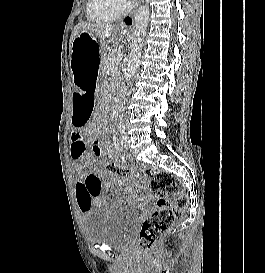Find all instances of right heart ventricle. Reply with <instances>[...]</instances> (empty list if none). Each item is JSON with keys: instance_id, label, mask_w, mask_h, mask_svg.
<instances>
[{"instance_id": "e07e8e85", "label": "right heart ventricle", "mask_w": 265, "mask_h": 273, "mask_svg": "<svg viewBox=\"0 0 265 273\" xmlns=\"http://www.w3.org/2000/svg\"><path fill=\"white\" fill-rule=\"evenodd\" d=\"M120 11L116 9L110 0H88L87 16L94 22H105L115 20Z\"/></svg>"}]
</instances>
